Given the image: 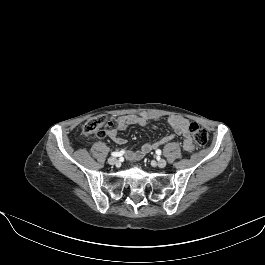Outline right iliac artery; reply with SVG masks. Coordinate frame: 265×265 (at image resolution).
<instances>
[{
	"mask_svg": "<svg viewBox=\"0 0 265 265\" xmlns=\"http://www.w3.org/2000/svg\"><path fill=\"white\" fill-rule=\"evenodd\" d=\"M123 154V151H120V152H112L111 155L114 156V157H118V156H121Z\"/></svg>",
	"mask_w": 265,
	"mask_h": 265,
	"instance_id": "1",
	"label": "right iliac artery"
}]
</instances>
